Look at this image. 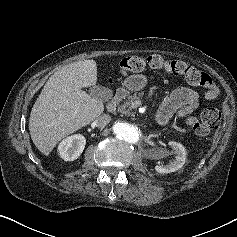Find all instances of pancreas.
I'll return each mask as SVG.
<instances>
[{"label": "pancreas", "mask_w": 237, "mask_h": 237, "mask_svg": "<svg viewBox=\"0 0 237 237\" xmlns=\"http://www.w3.org/2000/svg\"><path fill=\"white\" fill-rule=\"evenodd\" d=\"M139 97L136 95L133 96H128L127 100L124 101L121 105L118 106V112L125 114V115H129L132 113V107L131 105L135 102L138 101Z\"/></svg>", "instance_id": "1"}]
</instances>
